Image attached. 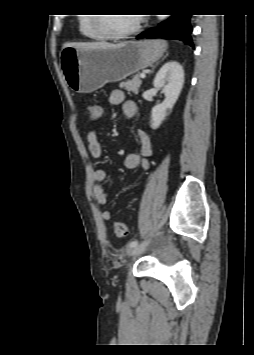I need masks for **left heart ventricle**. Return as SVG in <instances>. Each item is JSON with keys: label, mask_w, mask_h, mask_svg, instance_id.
Here are the masks:
<instances>
[{"label": "left heart ventricle", "mask_w": 254, "mask_h": 355, "mask_svg": "<svg viewBox=\"0 0 254 355\" xmlns=\"http://www.w3.org/2000/svg\"><path fill=\"white\" fill-rule=\"evenodd\" d=\"M136 20L133 15H108L105 25L112 33H122L134 27Z\"/></svg>", "instance_id": "1"}]
</instances>
